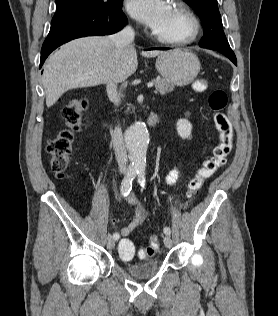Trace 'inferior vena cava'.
Returning a JSON list of instances; mask_svg holds the SVG:
<instances>
[{"mask_svg":"<svg viewBox=\"0 0 278 316\" xmlns=\"http://www.w3.org/2000/svg\"><path fill=\"white\" fill-rule=\"evenodd\" d=\"M134 37L135 32L130 26L125 27L124 29L110 37L115 44L117 55L122 53L123 49L126 46L132 44V42L134 41ZM107 95L110 101H112L115 105H119L120 98L117 92V86L112 81L107 83ZM112 143L119 170L121 172H125L127 169L128 156L124 144L122 130L119 125L114 129Z\"/></svg>","mask_w":278,"mask_h":316,"instance_id":"602c4592","label":"inferior vena cava"}]
</instances>
